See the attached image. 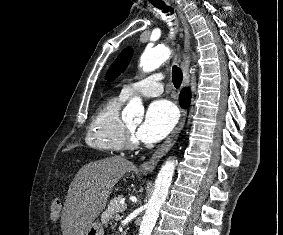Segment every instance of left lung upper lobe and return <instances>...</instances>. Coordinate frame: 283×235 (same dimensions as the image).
I'll use <instances>...</instances> for the list:
<instances>
[{"instance_id":"obj_1","label":"left lung upper lobe","mask_w":283,"mask_h":235,"mask_svg":"<svg viewBox=\"0 0 283 235\" xmlns=\"http://www.w3.org/2000/svg\"><path fill=\"white\" fill-rule=\"evenodd\" d=\"M132 53L133 51L131 48H126L121 52V54L118 56L116 61L112 64L107 72L106 78L109 81L117 78L118 75L125 70L132 57Z\"/></svg>"}]
</instances>
